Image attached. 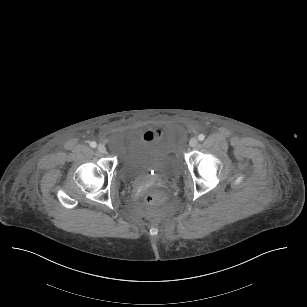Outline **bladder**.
Listing matches in <instances>:
<instances>
[{
	"instance_id": "obj_1",
	"label": "bladder",
	"mask_w": 307,
	"mask_h": 307,
	"mask_svg": "<svg viewBox=\"0 0 307 307\" xmlns=\"http://www.w3.org/2000/svg\"><path fill=\"white\" fill-rule=\"evenodd\" d=\"M157 169L170 174L180 170L179 159L168 145L143 140L126 147L120 153L119 172L123 179L142 180Z\"/></svg>"
}]
</instances>
